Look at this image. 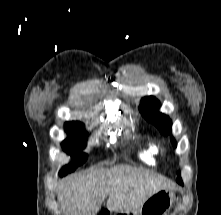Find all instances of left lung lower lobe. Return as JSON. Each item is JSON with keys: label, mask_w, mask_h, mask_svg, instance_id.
I'll use <instances>...</instances> for the list:
<instances>
[{"label": "left lung lower lobe", "mask_w": 221, "mask_h": 215, "mask_svg": "<svg viewBox=\"0 0 221 215\" xmlns=\"http://www.w3.org/2000/svg\"><path fill=\"white\" fill-rule=\"evenodd\" d=\"M178 183L181 184V185H183V182H182V181H178Z\"/></svg>", "instance_id": "left-lung-lower-lobe-1"}]
</instances>
